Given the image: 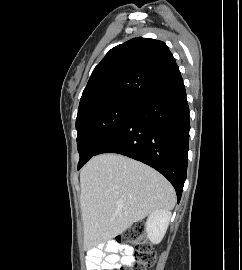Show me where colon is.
Wrapping results in <instances>:
<instances>
[{"instance_id":"1","label":"colon","mask_w":242,"mask_h":270,"mask_svg":"<svg viewBox=\"0 0 242 270\" xmlns=\"http://www.w3.org/2000/svg\"><path fill=\"white\" fill-rule=\"evenodd\" d=\"M116 242L119 244H133L136 254L130 270H147L156 262V253L150 243L146 240L145 229L141 223L133 224L128 230L117 237ZM118 270H127L126 265H121Z\"/></svg>"}]
</instances>
